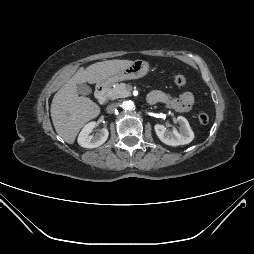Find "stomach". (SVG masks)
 I'll use <instances>...</instances> for the list:
<instances>
[{"label":"stomach","instance_id":"stomach-1","mask_svg":"<svg viewBox=\"0 0 254 254\" xmlns=\"http://www.w3.org/2000/svg\"><path fill=\"white\" fill-rule=\"evenodd\" d=\"M148 71L149 63L147 61L138 59L133 61L130 66L104 80L102 84H110L124 80L138 79L145 76Z\"/></svg>","mask_w":254,"mask_h":254}]
</instances>
